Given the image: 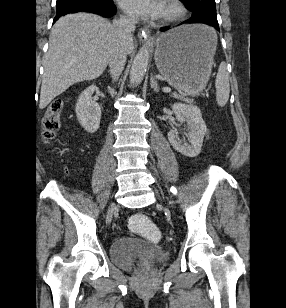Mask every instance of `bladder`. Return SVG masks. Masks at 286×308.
Masks as SVG:
<instances>
[{"mask_svg":"<svg viewBox=\"0 0 286 308\" xmlns=\"http://www.w3.org/2000/svg\"><path fill=\"white\" fill-rule=\"evenodd\" d=\"M145 249L149 250L151 260L155 264L169 258L167 249L159 246L146 247L142 242L129 238L119 239L112 244L111 257L115 264L125 268H133L137 255Z\"/></svg>","mask_w":286,"mask_h":308,"instance_id":"obj_1","label":"bladder"}]
</instances>
